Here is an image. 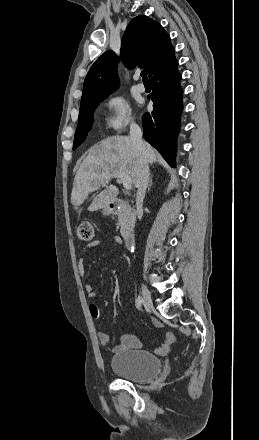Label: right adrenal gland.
Instances as JSON below:
<instances>
[{
    "mask_svg": "<svg viewBox=\"0 0 259 440\" xmlns=\"http://www.w3.org/2000/svg\"><path fill=\"white\" fill-rule=\"evenodd\" d=\"M152 184H153V175L149 179L148 191H150Z\"/></svg>",
    "mask_w": 259,
    "mask_h": 440,
    "instance_id": "right-adrenal-gland-1",
    "label": "right adrenal gland"
}]
</instances>
